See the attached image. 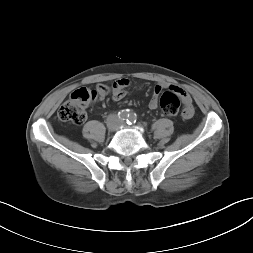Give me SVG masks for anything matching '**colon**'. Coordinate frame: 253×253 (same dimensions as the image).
I'll use <instances>...</instances> for the list:
<instances>
[{"label": "colon", "instance_id": "1", "mask_svg": "<svg viewBox=\"0 0 253 253\" xmlns=\"http://www.w3.org/2000/svg\"><path fill=\"white\" fill-rule=\"evenodd\" d=\"M105 96L104 91L98 88L82 87L76 89L60 107L58 118L63 122L81 124L86 119L87 107ZM180 97L177 93L168 90L160 98V107L165 116L174 117L180 112Z\"/></svg>", "mask_w": 253, "mask_h": 253}]
</instances>
